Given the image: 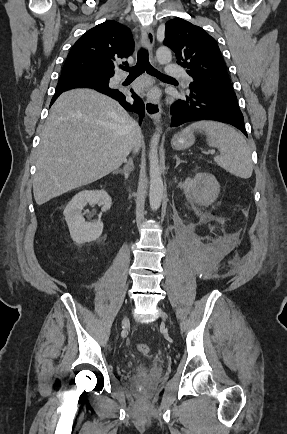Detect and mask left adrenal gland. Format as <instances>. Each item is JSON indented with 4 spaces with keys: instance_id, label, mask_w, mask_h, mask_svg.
I'll use <instances>...</instances> for the list:
<instances>
[{
    "instance_id": "1",
    "label": "left adrenal gland",
    "mask_w": 287,
    "mask_h": 434,
    "mask_svg": "<svg viewBox=\"0 0 287 434\" xmlns=\"http://www.w3.org/2000/svg\"><path fill=\"white\" fill-rule=\"evenodd\" d=\"M174 159H176V166L177 167L180 163H184L185 161L181 160L180 157H178L177 155H175Z\"/></svg>"
}]
</instances>
